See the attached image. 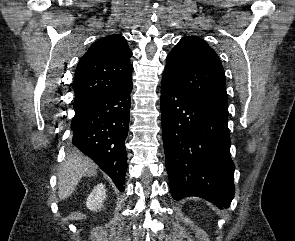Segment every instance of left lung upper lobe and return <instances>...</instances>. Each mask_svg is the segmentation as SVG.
<instances>
[{
    "instance_id": "1",
    "label": "left lung upper lobe",
    "mask_w": 295,
    "mask_h": 241,
    "mask_svg": "<svg viewBox=\"0 0 295 241\" xmlns=\"http://www.w3.org/2000/svg\"><path fill=\"white\" fill-rule=\"evenodd\" d=\"M163 75L196 99L228 113L224 69L203 39L182 38L168 54Z\"/></svg>"
}]
</instances>
